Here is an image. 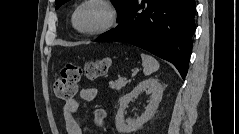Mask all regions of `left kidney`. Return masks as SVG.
I'll use <instances>...</instances> for the list:
<instances>
[{
  "instance_id": "5707ae66",
  "label": "left kidney",
  "mask_w": 239,
  "mask_h": 134,
  "mask_svg": "<svg viewBox=\"0 0 239 134\" xmlns=\"http://www.w3.org/2000/svg\"><path fill=\"white\" fill-rule=\"evenodd\" d=\"M144 91L146 94L152 95L149 104L145 108V112L136 119H125L124 112L129 102L132 98L137 97ZM163 91L164 87L157 79L149 78L140 82L132 92L121 97L119 100V109L115 118L117 131L120 134H130L141 128L144 123L154 116L158 105L162 100Z\"/></svg>"
}]
</instances>
